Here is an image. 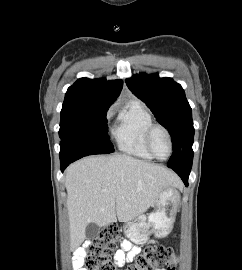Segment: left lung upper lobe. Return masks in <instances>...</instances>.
Listing matches in <instances>:
<instances>
[{"label":"left lung upper lobe","mask_w":242,"mask_h":270,"mask_svg":"<svg viewBox=\"0 0 242 270\" xmlns=\"http://www.w3.org/2000/svg\"><path fill=\"white\" fill-rule=\"evenodd\" d=\"M128 88L153 112L170 133L173 153L167 164L172 169H191L194 127L192 110L180 84L157 74L134 75L126 80Z\"/></svg>","instance_id":"left-lung-upper-lobe-1"}]
</instances>
